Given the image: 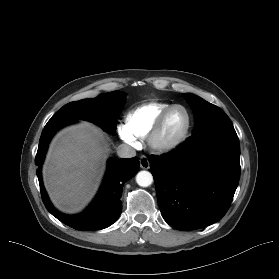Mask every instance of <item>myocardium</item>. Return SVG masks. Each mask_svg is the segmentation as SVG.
I'll use <instances>...</instances> for the list:
<instances>
[{"label": "myocardium", "instance_id": "obj_1", "mask_svg": "<svg viewBox=\"0 0 279 279\" xmlns=\"http://www.w3.org/2000/svg\"><path fill=\"white\" fill-rule=\"evenodd\" d=\"M175 109H182L186 115V125L181 134L171 141H162L160 140V133L165 123L167 116ZM192 127V116L190 111L183 105L173 104L166 109H164L155 123L153 124L151 130L147 135V141L150 147L159 152H169L172 151L179 146H181L189 136L190 130Z\"/></svg>", "mask_w": 279, "mask_h": 279}]
</instances>
